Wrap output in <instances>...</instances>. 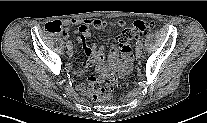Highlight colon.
<instances>
[{
  "mask_svg": "<svg viewBox=\"0 0 207 123\" xmlns=\"http://www.w3.org/2000/svg\"><path fill=\"white\" fill-rule=\"evenodd\" d=\"M96 30H102L106 27V23L100 20L91 22ZM44 30L48 33H59L62 30L61 21L48 22L43 26ZM155 29V25L150 22L142 20L134 21L131 27L125 28L119 36V46L122 53L128 48V43L137 35L150 32ZM118 88V79L116 77H108L104 82L97 83L94 86L92 93V100L94 102L112 101L116 98V90Z\"/></svg>",
  "mask_w": 207,
  "mask_h": 123,
  "instance_id": "1",
  "label": "colon"
}]
</instances>
